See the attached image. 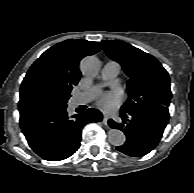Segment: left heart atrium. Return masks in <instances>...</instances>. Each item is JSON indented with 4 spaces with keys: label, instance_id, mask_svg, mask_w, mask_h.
I'll list each match as a JSON object with an SVG mask.
<instances>
[{
    "label": "left heart atrium",
    "instance_id": "1",
    "mask_svg": "<svg viewBox=\"0 0 194 193\" xmlns=\"http://www.w3.org/2000/svg\"><path fill=\"white\" fill-rule=\"evenodd\" d=\"M120 103V94L118 92H105L97 101L98 106L104 111H112Z\"/></svg>",
    "mask_w": 194,
    "mask_h": 193
}]
</instances>
